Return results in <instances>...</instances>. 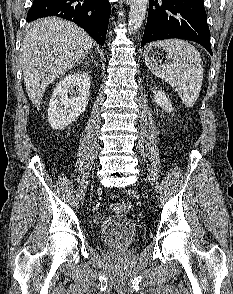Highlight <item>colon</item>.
Segmentation results:
<instances>
[{
  "label": "colon",
  "instance_id": "5ec220e1",
  "mask_svg": "<svg viewBox=\"0 0 233 294\" xmlns=\"http://www.w3.org/2000/svg\"><path fill=\"white\" fill-rule=\"evenodd\" d=\"M130 209H131V205L125 201L116 202L112 206V211L116 214L128 213Z\"/></svg>",
  "mask_w": 233,
  "mask_h": 294
}]
</instances>
